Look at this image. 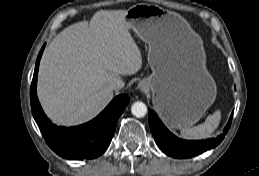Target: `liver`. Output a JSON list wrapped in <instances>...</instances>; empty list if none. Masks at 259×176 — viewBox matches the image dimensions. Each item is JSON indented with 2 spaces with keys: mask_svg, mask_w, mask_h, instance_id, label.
Here are the masks:
<instances>
[{
  "mask_svg": "<svg viewBox=\"0 0 259 176\" xmlns=\"http://www.w3.org/2000/svg\"><path fill=\"white\" fill-rule=\"evenodd\" d=\"M127 10H100L72 24L43 53L37 94L56 124L85 123L113 99L110 84L137 73L142 56L124 20Z\"/></svg>",
  "mask_w": 259,
  "mask_h": 176,
  "instance_id": "liver-1",
  "label": "liver"
}]
</instances>
